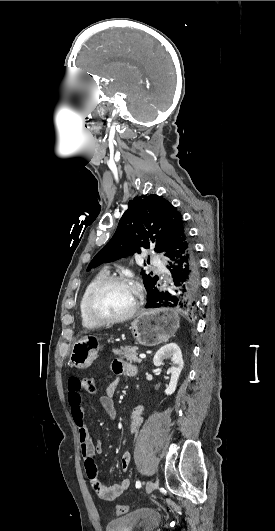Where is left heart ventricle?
<instances>
[{
	"label": "left heart ventricle",
	"mask_w": 275,
	"mask_h": 531,
	"mask_svg": "<svg viewBox=\"0 0 275 531\" xmlns=\"http://www.w3.org/2000/svg\"><path fill=\"white\" fill-rule=\"evenodd\" d=\"M135 297L134 288L130 283H113L97 294L92 302V309L103 317L122 316L131 309Z\"/></svg>",
	"instance_id": "1"
}]
</instances>
